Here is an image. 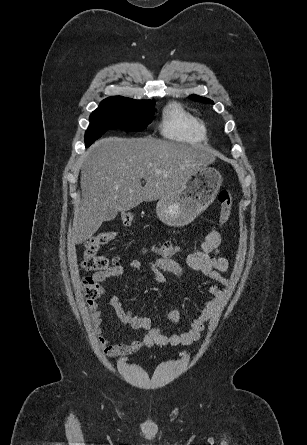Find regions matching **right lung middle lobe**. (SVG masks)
<instances>
[{
  "label": "right lung middle lobe",
  "instance_id": "dd1d6c3e",
  "mask_svg": "<svg viewBox=\"0 0 307 445\" xmlns=\"http://www.w3.org/2000/svg\"><path fill=\"white\" fill-rule=\"evenodd\" d=\"M154 105V102L128 98H106L90 115V125L85 133L86 147L109 129L144 130L153 120Z\"/></svg>",
  "mask_w": 307,
  "mask_h": 445
}]
</instances>
